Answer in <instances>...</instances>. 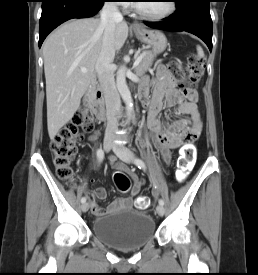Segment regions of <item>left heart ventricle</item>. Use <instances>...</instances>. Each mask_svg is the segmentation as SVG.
<instances>
[{"label": "left heart ventricle", "instance_id": "obj_1", "mask_svg": "<svg viewBox=\"0 0 258 275\" xmlns=\"http://www.w3.org/2000/svg\"><path fill=\"white\" fill-rule=\"evenodd\" d=\"M145 3H138L139 6L146 12L152 15H160L165 13L169 8V2L162 1H144Z\"/></svg>", "mask_w": 258, "mask_h": 275}]
</instances>
